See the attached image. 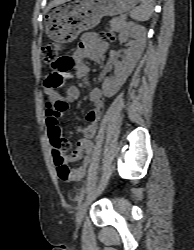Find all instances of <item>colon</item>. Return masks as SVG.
I'll return each mask as SVG.
<instances>
[{"label": "colon", "instance_id": "obj_1", "mask_svg": "<svg viewBox=\"0 0 194 250\" xmlns=\"http://www.w3.org/2000/svg\"><path fill=\"white\" fill-rule=\"evenodd\" d=\"M62 49V44L59 42H51L45 44L41 49V54L43 60L51 64L55 69L53 72H50L47 76L46 84L50 88L57 89L62 86L65 75H64V66L67 61L60 57V52ZM60 107H64L63 102H59ZM55 106V103L50 99L49 109ZM54 162L57 168V173L59 177L63 180H69L71 177V172L64 160V154L70 149V143L61 135H54L50 137Z\"/></svg>", "mask_w": 194, "mask_h": 250}]
</instances>
